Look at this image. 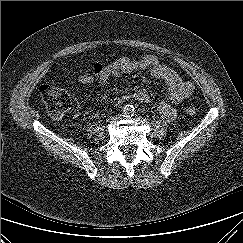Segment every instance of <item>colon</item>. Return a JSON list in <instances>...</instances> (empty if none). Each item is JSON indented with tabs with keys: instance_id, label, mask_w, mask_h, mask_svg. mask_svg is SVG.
<instances>
[{
	"instance_id": "obj_1",
	"label": "colon",
	"mask_w": 243,
	"mask_h": 243,
	"mask_svg": "<svg viewBox=\"0 0 243 243\" xmlns=\"http://www.w3.org/2000/svg\"><path fill=\"white\" fill-rule=\"evenodd\" d=\"M42 101L50 114L55 119L62 118L70 108V97L68 93L56 86L45 84L40 87ZM197 111L193 101H189L185 106L187 115H194Z\"/></svg>"
}]
</instances>
